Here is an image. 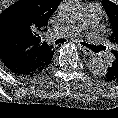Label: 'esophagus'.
I'll use <instances>...</instances> for the list:
<instances>
[{
    "instance_id": "obj_1",
    "label": "esophagus",
    "mask_w": 118,
    "mask_h": 118,
    "mask_svg": "<svg viewBox=\"0 0 118 118\" xmlns=\"http://www.w3.org/2000/svg\"><path fill=\"white\" fill-rule=\"evenodd\" d=\"M79 47L85 55H88V56L94 55V53L90 49H88L87 47L82 46V45H79Z\"/></svg>"
}]
</instances>
